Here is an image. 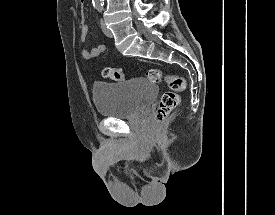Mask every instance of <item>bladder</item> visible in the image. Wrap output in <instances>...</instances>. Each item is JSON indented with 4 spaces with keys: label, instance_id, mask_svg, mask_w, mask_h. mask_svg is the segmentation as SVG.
Masks as SVG:
<instances>
[{
    "label": "bladder",
    "instance_id": "bladder-1",
    "mask_svg": "<svg viewBox=\"0 0 275 215\" xmlns=\"http://www.w3.org/2000/svg\"><path fill=\"white\" fill-rule=\"evenodd\" d=\"M93 101L100 116L125 119L148 107L158 95L157 85L144 77L130 81L96 82Z\"/></svg>",
    "mask_w": 275,
    "mask_h": 215
}]
</instances>
